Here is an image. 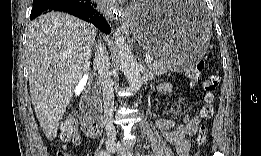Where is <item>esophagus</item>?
Returning a JSON list of instances; mask_svg holds the SVG:
<instances>
[{"mask_svg":"<svg viewBox=\"0 0 261 156\" xmlns=\"http://www.w3.org/2000/svg\"><path fill=\"white\" fill-rule=\"evenodd\" d=\"M106 15L112 19H117L121 16V10L119 7L112 5L110 7H106Z\"/></svg>","mask_w":261,"mask_h":156,"instance_id":"1","label":"esophagus"}]
</instances>
